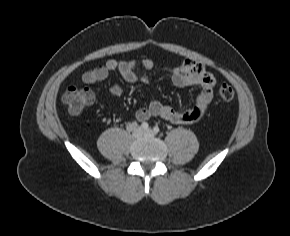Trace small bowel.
<instances>
[{"label":"small bowel","mask_w":290,"mask_h":236,"mask_svg":"<svg viewBox=\"0 0 290 236\" xmlns=\"http://www.w3.org/2000/svg\"><path fill=\"white\" fill-rule=\"evenodd\" d=\"M139 67L145 71H151L154 69V62L151 59H143L140 62L134 59H110L103 65L86 71L82 75V81L86 84H93L105 80L111 73L118 72L129 83L149 82L150 77L141 73ZM169 75L176 87H201L195 104L190 108L179 110L154 100L147 108L136 111L135 117L138 121L142 122L151 117H160L175 124H193L202 118L213 98L214 78L212 74L201 63L186 59L180 65L172 67L169 70ZM110 93L115 98H119L122 95V88L118 84H113L110 87Z\"/></svg>","instance_id":"small-bowel-1"}]
</instances>
